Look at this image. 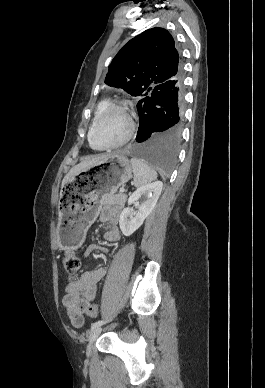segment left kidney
Returning <instances> with one entry per match:
<instances>
[{
	"label": "left kidney",
	"mask_w": 265,
	"mask_h": 388,
	"mask_svg": "<svg viewBox=\"0 0 265 388\" xmlns=\"http://www.w3.org/2000/svg\"><path fill=\"white\" fill-rule=\"evenodd\" d=\"M162 182H153V184H146L142 188H138L136 192L131 194L128 198V204H137L138 212L134 214L131 208H124L119 224L120 230L124 236H131L142 226L145 218H148L153 208L157 204V200L162 192Z\"/></svg>",
	"instance_id": "obj_1"
}]
</instances>
